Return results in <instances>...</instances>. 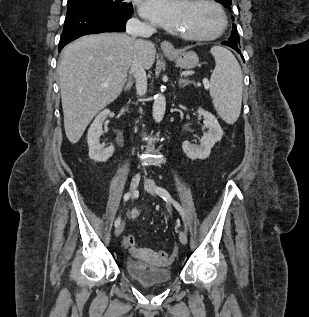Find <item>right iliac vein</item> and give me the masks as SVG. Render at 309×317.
Here are the masks:
<instances>
[{
    "label": "right iliac vein",
    "instance_id": "63e3f726",
    "mask_svg": "<svg viewBox=\"0 0 309 317\" xmlns=\"http://www.w3.org/2000/svg\"><path fill=\"white\" fill-rule=\"evenodd\" d=\"M139 182H140V174H135L133 176V178L131 180V184H130V192H131L132 195L135 194V192H136V190H137V188L139 186ZM124 226H125L124 222L120 223L117 226V228L115 230V235L116 236H119L123 232Z\"/></svg>",
    "mask_w": 309,
    "mask_h": 317
}]
</instances>
